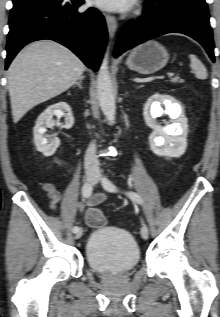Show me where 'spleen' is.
Listing matches in <instances>:
<instances>
[{
  "label": "spleen",
  "mask_w": 220,
  "mask_h": 317,
  "mask_svg": "<svg viewBox=\"0 0 220 317\" xmlns=\"http://www.w3.org/2000/svg\"><path fill=\"white\" fill-rule=\"evenodd\" d=\"M190 58V67L195 72V76L198 79L207 78V70L202 62L193 54L189 55Z\"/></svg>",
  "instance_id": "1"
}]
</instances>
